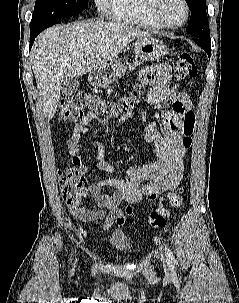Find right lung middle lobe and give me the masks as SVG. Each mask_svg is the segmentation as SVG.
Masks as SVG:
<instances>
[{"instance_id":"dd1d6c3e","label":"right lung middle lobe","mask_w":239,"mask_h":303,"mask_svg":"<svg viewBox=\"0 0 239 303\" xmlns=\"http://www.w3.org/2000/svg\"><path fill=\"white\" fill-rule=\"evenodd\" d=\"M88 8V0H36L30 28L51 26L56 20L77 15Z\"/></svg>"}]
</instances>
